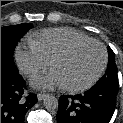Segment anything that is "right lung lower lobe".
I'll list each match as a JSON object with an SVG mask.
<instances>
[{
    "instance_id": "obj_1",
    "label": "right lung lower lobe",
    "mask_w": 123,
    "mask_h": 123,
    "mask_svg": "<svg viewBox=\"0 0 123 123\" xmlns=\"http://www.w3.org/2000/svg\"><path fill=\"white\" fill-rule=\"evenodd\" d=\"M25 89L18 70L1 64V123H24L26 112L37 103L36 94H24Z\"/></svg>"
}]
</instances>
